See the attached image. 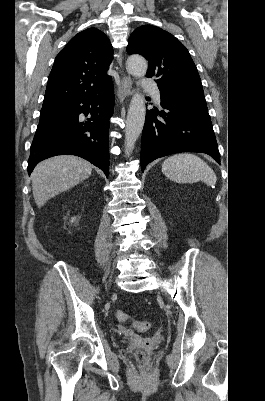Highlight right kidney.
Wrapping results in <instances>:
<instances>
[{"label": "right kidney", "mask_w": 265, "mask_h": 401, "mask_svg": "<svg viewBox=\"0 0 265 401\" xmlns=\"http://www.w3.org/2000/svg\"><path fill=\"white\" fill-rule=\"evenodd\" d=\"M75 219H72L71 223H74Z\"/></svg>", "instance_id": "1"}]
</instances>
